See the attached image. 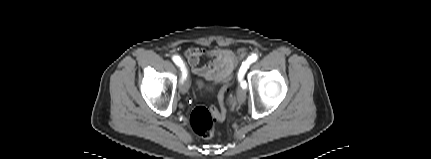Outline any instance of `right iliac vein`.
Segmentation results:
<instances>
[{"label": "right iliac vein", "mask_w": 431, "mask_h": 159, "mask_svg": "<svg viewBox=\"0 0 431 159\" xmlns=\"http://www.w3.org/2000/svg\"><path fill=\"white\" fill-rule=\"evenodd\" d=\"M188 90H189V78H186L184 82H182V84L180 85V92L182 94H185L188 92Z\"/></svg>", "instance_id": "1"}]
</instances>
